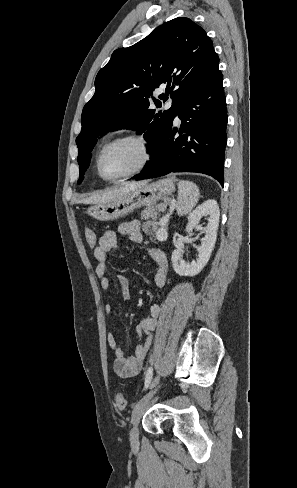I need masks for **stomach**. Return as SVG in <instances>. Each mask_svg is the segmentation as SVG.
Wrapping results in <instances>:
<instances>
[{"label":"stomach","instance_id":"0dacf381","mask_svg":"<svg viewBox=\"0 0 297 488\" xmlns=\"http://www.w3.org/2000/svg\"><path fill=\"white\" fill-rule=\"evenodd\" d=\"M174 190L171 179H161L134 191L125 192L113 201L90 206L87 214L99 221H112L125 217L138 207L154 206L158 201L166 200Z\"/></svg>","mask_w":297,"mask_h":488}]
</instances>
